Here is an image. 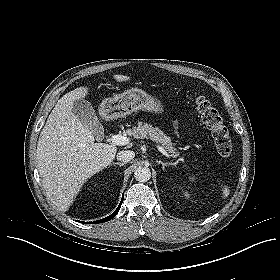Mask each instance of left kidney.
I'll use <instances>...</instances> for the list:
<instances>
[{
	"mask_svg": "<svg viewBox=\"0 0 280 280\" xmlns=\"http://www.w3.org/2000/svg\"><path fill=\"white\" fill-rule=\"evenodd\" d=\"M184 195H185L186 197H189V194H188L187 192H185Z\"/></svg>",
	"mask_w": 280,
	"mask_h": 280,
	"instance_id": "obj_1",
	"label": "left kidney"
}]
</instances>
